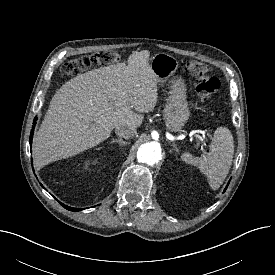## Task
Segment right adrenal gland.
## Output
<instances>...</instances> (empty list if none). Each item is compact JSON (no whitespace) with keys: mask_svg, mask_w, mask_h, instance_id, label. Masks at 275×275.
Segmentation results:
<instances>
[{"mask_svg":"<svg viewBox=\"0 0 275 275\" xmlns=\"http://www.w3.org/2000/svg\"><path fill=\"white\" fill-rule=\"evenodd\" d=\"M115 142L119 143L120 146H124L127 144V142L122 139L113 138L111 143H115Z\"/></svg>","mask_w":275,"mask_h":275,"instance_id":"2a0ac1e0","label":"right adrenal gland"}]
</instances>
